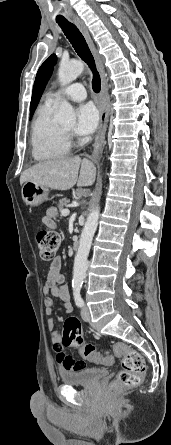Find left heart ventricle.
<instances>
[{"label":"left heart ventricle","instance_id":"obj_1","mask_svg":"<svg viewBox=\"0 0 171 445\" xmlns=\"http://www.w3.org/2000/svg\"><path fill=\"white\" fill-rule=\"evenodd\" d=\"M64 129H66V130H69V131H71L72 130V128H73V125H65V126H62Z\"/></svg>","mask_w":171,"mask_h":445}]
</instances>
